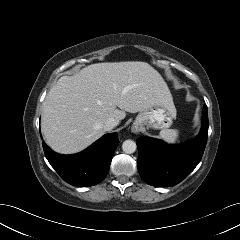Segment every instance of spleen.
I'll return each instance as SVG.
<instances>
[{
	"label": "spleen",
	"mask_w": 240,
	"mask_h": 240,
	"mask_svg": "<svg viewBox=\"0 0 240 240\" xmlns=\"http://www.w3.org/2000/svg\"><path fill=\"white\" fill-rule=\"evenodd\" d=\"M159 137L169 144H176L180 137V131L178 129H164L160 131Z\"/></svg>",
	"instance_id": "spleen-1"
}]
</instances>
